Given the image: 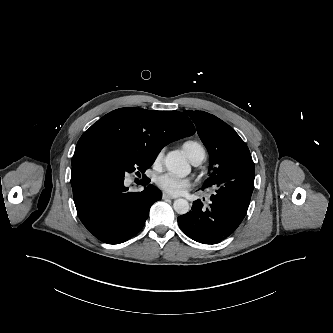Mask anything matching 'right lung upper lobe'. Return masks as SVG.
Instances as JSON below:
<instances>
[{"label": "right lung upper lobe", "instance_id": "right-lung-upper-lobe-1", "mask_svg": "<svg viewBox=\"0 0 333 333\" xmlns=\"http://www.w3.org/2000/svg\"><path fill=\"white\" fill-rule=\"evenodd\" d=\"M194 133L192 122L181 112L120 108L103 116L81 136L72 164L91 144H111L157 155L167 144Z\"/></svg>", "mask_w": 333, "mask_h": 333}]
</instances>
